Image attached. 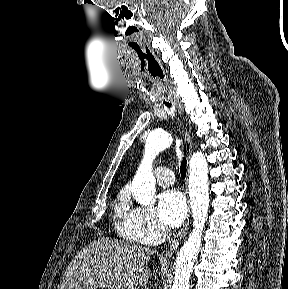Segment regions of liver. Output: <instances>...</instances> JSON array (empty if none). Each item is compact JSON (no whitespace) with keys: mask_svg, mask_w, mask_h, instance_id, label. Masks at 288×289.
I'll return each mask as SVG.
<instances>
[{"mask_svg":"<svg viewBox=\"0 0 288 289\" xmlns=\"http://www.w3.org/2000/svg\"><path fill=\"white\" fill-rule=\"evenodd\" d=\"M154 250L99 238L83 248L65 270L58 289H139L152 274Z\"/></svg>","mask_w":288,"mask_h":289,"instance_id":"obj_1","label":"liver"}]
</instances>
